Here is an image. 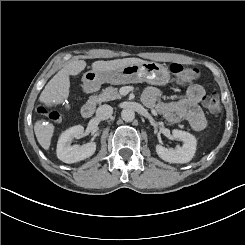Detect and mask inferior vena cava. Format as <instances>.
I'll return each mask as SVG.
<instances>
[{
  "label": "inferior vena cava",
  "mask_w": 245,
  "mask_h": 245,
  "mask_svg": "<svg viewBox=\"0 0 245 245\" xmlns=\"http://www.w3.org/2000/svg\"><path fill=\"white\" fill-rule=\"evenodd\" d=\"M112 113H113V108L110 105H106V104L101 105L96 110V116L100 120H106V119L110 118Z\"/></svg>",
  "instance_id": "inferior-vena-cava-1"
}]
</instances>
